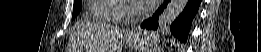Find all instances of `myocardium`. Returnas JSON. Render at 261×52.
<instances>
[{"label":"myocardium","mask_w":261,"mask_h":52,"mask_svg":"<svg viewBox=\"0 0 261 52\" xmlns=\"http://www.w3.org/2000/svg\"><path fill=\"white\" fill-rule=\"evenodd\" d=\"M125 7H126L127 12H128V13H131V14H133V13H139V12L144 11V10H140V9L136 8V6H135V4H134L133 1H127V2H125Z\"/></svg>","instance_id":"f54148a6"}]
</instances>
